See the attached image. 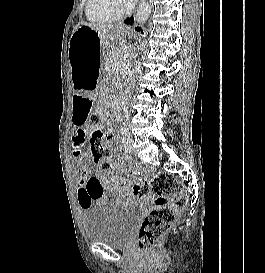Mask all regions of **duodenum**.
<instances>
[{"mask_svg":"<svg viewBox=\"0 0 265 273\" xmlns=\"http://www.w3.org/2000/svg\"><path fill=\"white\" fill-rule=\"evenodd\" d=\"M117 117H118V118L121 117V112H120V111L117 113Z\"/></svg>","mask_w":265,"mask_h":273,"instance_id":"duodenum-1","label":"duodenum"}]
</instances>
